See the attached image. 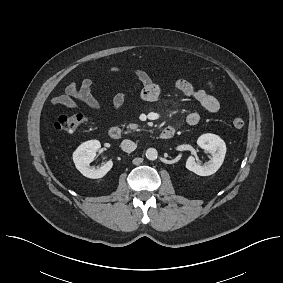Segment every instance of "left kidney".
<instances>
[{
	"label": "left kidney",
	"mask_w": 283,
	"mask_h": 283,
	"mask_svg": "<svg viewBox=\"0 0 283 283\" xmlns=\"http://www.w3.org/2000/svg\"><path fill=\"white\" fill-rule=\"evenodd\" d=\"M197 145L206 152L211 153L212 158L204 165H199L193 156H189L186 161V168L200 176L214 174L223 164L226 154L225 142L219 136L207 133L198 138Z\"/></svg>",
	"instance_id": "obj_1"
}]
</instances>
